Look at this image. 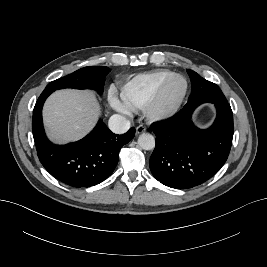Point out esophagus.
<instances>
[{
    "label": "esophagus",
    "instance_id": "1",
    "mask_svg": "<svg viewBox=\"0 0 267 267\" xmlns=\"http://www.w3.org/2000/svg\"><path fill=\"white\" fill-rule=\"evenodd\" d=\"M146 131V128L143 126V125H139L137 128H136V134L139 135L141 133H144Z\"/></svg>",
    "mask_w": 267,
    "mask_h": 267
}]
</instances>
